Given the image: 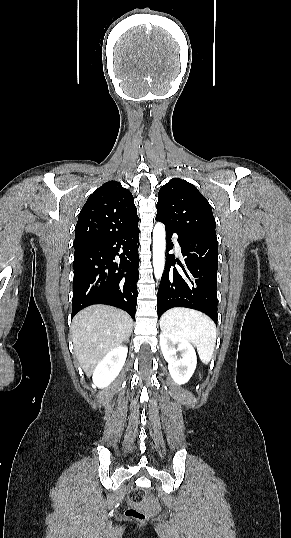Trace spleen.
<instances>
[{
	"label": "spleen",
	"instance_id": "1",
	"mask_svg": "<svg viewBox=\"0 0 291 538\" xmlns=\"http://www.w3.org/2000/svg\"><path fill=\"white\" fill-rule=\"evenodd\" d=\"M164 332L188 339L197 347L201 361L209 363L216 344V326L202 312L188 308H172L160 318Z\"/></svg>",
	"mask_w": 291,
	"mask_h": 538
}]
</instances>
